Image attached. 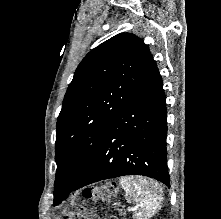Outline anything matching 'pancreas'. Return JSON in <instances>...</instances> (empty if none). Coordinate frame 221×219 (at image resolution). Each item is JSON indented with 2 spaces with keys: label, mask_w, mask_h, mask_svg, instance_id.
Segmentation results:
<instances>
[{
  "label": "pancreas",
  "mask_w": 221,
  "mask_h": 219,
  "mask_svg": "<svg viewBox=\"0 0 221 219\" xmlns=\"http://www.w3.org/2000/svg\"><path fill=\"white\" fill-rule=\"evenodd\" d=\"M120 214H121V215H126V212L120 211Z\"/></svg>",
  "instance_id": "1"
}]
</instances>
